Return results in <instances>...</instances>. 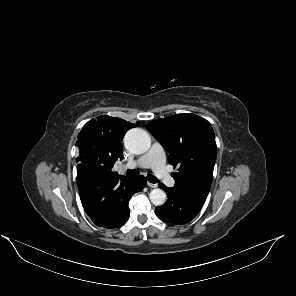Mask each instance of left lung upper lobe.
I'll list each match as a JSON object with an SVG mask.
<instances>
[{"instance_id": "5c2ea615", "label": "left lung upper lobe", "mask_w": 296, "mask_h": 296, "mask_svg": "<svg viewBox=\"0 0 296 296\" xmlns=\"http://www.w3.org/2000/svg\"><path fill=\"white\" fill-rule=\"evenodd\" d=\"M146 128L170 153V164L179 167L174 188L209 192L217 156L211 124L184 113L151 121Z\"/></svg>"}]
</instances>
